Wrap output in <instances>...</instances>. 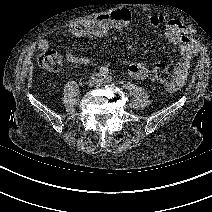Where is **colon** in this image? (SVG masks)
I'll use <instances>...</instances> for the list:
<instances>
[{"label":"colon","mask_w":212,"mask_h":212,"mask_svg":"<svg viewBox=\"0 0 212 212\" xmlns=\"http://www.w3.org/2000/svg\"><path fill=\"white\" fill-rule=\"evenodd\" d=\"M38 63L51 72H58L63 66L62 56L54 50L43 51L38 56ZM150 79L159 85L171 84L172 76L169 67L163 63H156L150 72Z\"/></svg>","instance_id":"5ec220e1"}]
</instances>
